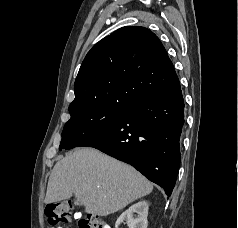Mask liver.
Wrapping results in <instances>:
<instances>
[{
  "label": "liver",
  "instance_id": "obj_1",
  "mask_svg": "<svg viewBox=\"0 0 238 228\" xmlns=\"http://www.w3.org/2000/svg\"><path fill=\"white\" fill-rule=\"evenodd\" d=\"M152 190V183L133 167L96 149L78 148L55 164L45 203L69 199L74 194L87 213L107 216Z\"/></svg>",
  "mask_w": 238,
  "mask_h": 228
}]
</instances>
